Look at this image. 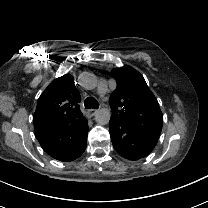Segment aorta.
Returning a JSON list of instances; mask_svg holds the SVG:
<instances>
[{"mask_svg":"<svg viewBox=\"0 0 208 208\" xmlns=\"http://www.w3.org/2000/svg\"><path fill=\"white\" fill-rule=\"evenodd\" d=\"M111 117L110 110L108 108H101L95 112V121L99 125H106L109 123Z\"/></svg>","mask_w":208,"mask_h":208,"instance_id":"1","label":"aorta"}]
</instances>
